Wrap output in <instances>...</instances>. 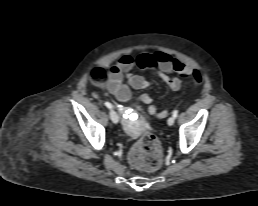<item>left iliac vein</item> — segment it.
<instances>
[{"label":"left iliac vein","mask_w":258,"mask_h":206,"mask_svg":"<svg viewBox=\"0 0 258 206\" xmlns=\"http://www.w3.org/2000/svg\"><path fill=\"white\" fill-rule=\"evenodd\" d=\"M174 122H175V118H174L173 116H171V117L168 119V121H167V123H168L169 126H172V125L174 124Z\"/></svg>","instance_id":"left-iliac-vein-1"}]
</instances>
